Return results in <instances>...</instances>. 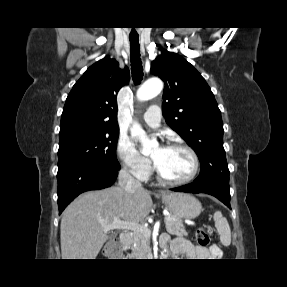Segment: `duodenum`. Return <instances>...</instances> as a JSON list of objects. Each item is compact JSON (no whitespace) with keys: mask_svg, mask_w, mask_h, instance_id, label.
Listing matches in <instances>:
<instances>
[{"mask_svg":"<svg viewBox=\"0 0 287 287\" xmlns=\"http://www.w3.org/2000/svg\"><path fill=\"white\" fill-rule=\"evenodd\" d=\"M119 239H120L121 244L124 247H127L130 244V242H131V235H130V233L128 231H124V232H122L120 234ZM107 251L108 252H113L111 247L107 248Z\"/></svg>","mask_w":287,"mask_h":287,"instance_id":"duodenum-1","label":"duodenum"}]
</instances>
